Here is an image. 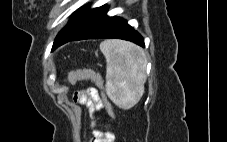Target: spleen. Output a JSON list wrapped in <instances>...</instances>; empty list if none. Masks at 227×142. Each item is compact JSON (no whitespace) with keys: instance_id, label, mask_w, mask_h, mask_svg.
<instances>
[{"instance_id":"obj_1","label":"spleen","mask_w":227,"mask_h":142,"mask_svg":"<svg viewBox=\"0 0 227 142\" xmlns=\"http://www.w3.org/2000/svg\"><path fill=\"white\" fill-rule=\"evenodd\" d=\"M100 50L107 63V96L120 108L133 107L144 93L147 65L144 50L121 40L103 41Z\"/></svg>"}]
</instances>
